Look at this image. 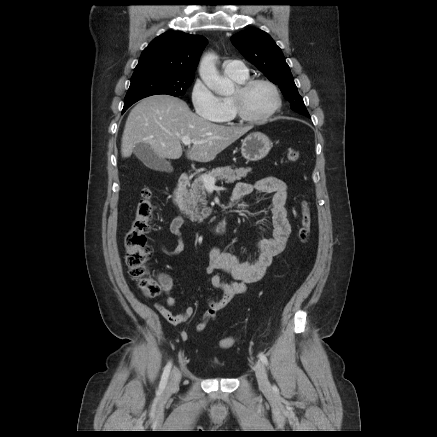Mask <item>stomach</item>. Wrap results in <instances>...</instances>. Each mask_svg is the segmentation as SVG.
Segmentation results:
<instances>
[{
	"label": "stomach",
	"instance_id": "1",
	"mask_svg": "<svg viewBox=\"0 0 437 437\" xmlns=\"http://www.w3.org/2000/svg\"><path fill=\"white\" fill-rule=\"evenodd\" d=\"M272 148L270 139L261 132H253L242 140L241 153L248 161H258L267 156Z\"/></svg>",
	"mask_w": 437,
	"mask_h": 437
}]
</instances>
